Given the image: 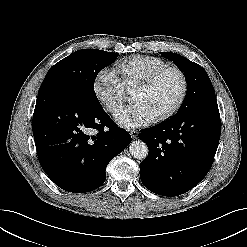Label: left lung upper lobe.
I'll use <instances>...</instances> for the list:
<instances>
[{"mask_svg":"<svg viewBox=\"0 0 247 247\" xmlns=\"http://www.w3.org/2000/svg\"><path fill=\"white\" fill-rule=\"evenodd\" d=\"M161 55L175 63L184 73L187 82V93L177 116L191 109L217 106L215 91L206 71L198 64L187 58L171 53L161 52ZM173 116V117H174Z\"/></svg>","mask_w":247,"mask_h":247,"instance_id":"1","label":"left lung upper lobe"}]
</instances>
